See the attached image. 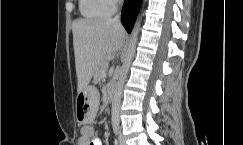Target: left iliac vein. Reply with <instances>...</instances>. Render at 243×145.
I'll return each mask as SVG.
<instances>
[{
    "instance_id": "1",
    "label": "left iliac vein",
    "mask_w": 243,
    "mask_h": 145,
    "mask_svg": "<svg viewBox=\"0 0 243 145\" xmlns=\"http://www.w3.org/2000/svg\"><path fill=\"white\" fill-rule=\"evenodd\" d=\"M119 145H127L121 131L119 132Z\"/></svg>"
}]
</instances>
